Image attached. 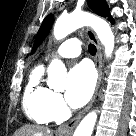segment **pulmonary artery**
<instances>
[{"instance_id": "obj_1", "label": "pulmonary artery", "mask_w": 136, "mask_h": 136, "mask_svg": "<svg viewBox=\"0 0 136 136\" xmlns=\"http://www.w3.org/2000/svg\"><path fill=\"white\" fill-rule=\"evenodd\" d=\"M81 53V42L76 38H71L63 42L58 49L56 54L64 58L77 57ZM49 57L47 56L46 59Z\"/></svg>"}]
</instances>
